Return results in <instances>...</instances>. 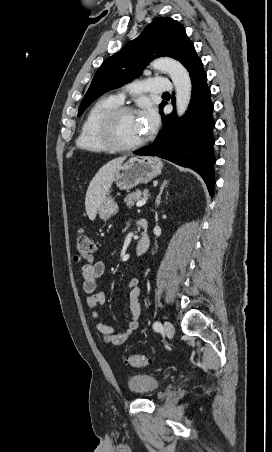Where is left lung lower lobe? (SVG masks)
Returning <instances> with one entry per match:
<instances>
[{"label": "left lung lower lobe", "instance_id": "obj_1", "mask_svg": "<svg viewBox=\"0 0 272 452\" xmlns=\"http://www.w3.org/2000/svg\"><path fill=\"white\" fill-rule=\"evenodd\" d=\"M182 64L189 71L192 82V95L187 112L180 119L175 115V111L167 116L161 112L164 124L157 140L134 153L158 156L193 169L204 179L212 195L215 184L212 129L215 122L212 119L211 93L206 83L202 61L194 46ZM165 104L164 102L161 109Z\"/></svg>", "mask_w": 272, "mask_h": 452}]
</instances>
